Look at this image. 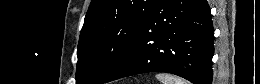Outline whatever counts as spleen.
Listing matches in <instances>:
<instances>
[{
	"label": "spleen",
	"instance_id": "obj_1",
	"mask_svg": "<svg viewBox=\"0 0 260 84\" xmlns=\"http://www.w3.org/2000/svg\"><path fill=\"white\" fill-rule=\"evenodd\" d=\"M156 78L159 79L162 84H189L185 79L169 73H157Z\"/></svg>",
	"mask_w": 260,
	"mask_h": 84
}]
</instances>
